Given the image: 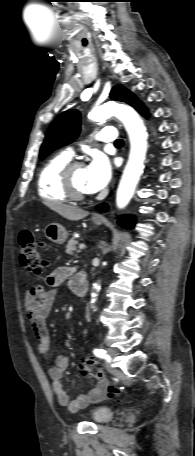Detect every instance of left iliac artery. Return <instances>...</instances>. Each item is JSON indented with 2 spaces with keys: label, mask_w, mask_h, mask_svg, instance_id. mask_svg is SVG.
<instances>
[{
  "label": "left iliac artery",
  "mask_w": 195,
  "mask_h": 456,
  "mask_svg": "<svg viewBox=\"0 0 195 456\" xmlns=\"http://www.w3.org/2000/svg\"><path fill=\"white\" fill-rule=\"evenodd\" d=\"M93 353H94L95 356H97L99 358H107V360L109 359L106 351L103 350V349H94Z\"/></svg>",
  "instance_id": "1"
}]
</instances>
